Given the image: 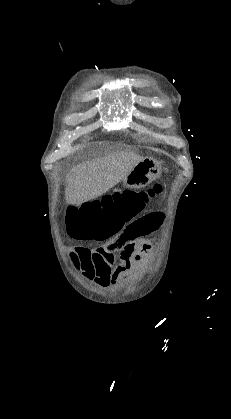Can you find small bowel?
I'll list each match as a JSON object with an SVG mask.
<instances>
[{
	"label": "small bowel",
	"instance_id": "small-bowel-1",
	"mask_svg": "<svg viewBox=\"0 0 231 419\" xmlns=\"http://www.w3.org/2000/svg\"><path fill=\"white\" fill-rule=\"evenodd\" d=\"M162 221L160 213L145 215L126 225L112 241L94 250L72 249L70 258L74 268L97 286H116L122 279L135 275L139 266L151 264L153 246L144 237L155 231ZM116 252L119 263H116Z\"/></svg>",
	"mask_w": 231,
	"mask_h": 419
}]
</instances>
